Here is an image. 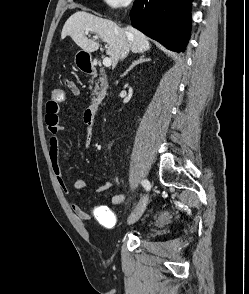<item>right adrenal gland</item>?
<instances>
[{
	"label": "right adrenal gland",
	"instance_id": "1",
	"mask_svg": "<svg viewBox=\"0 0 249 294\" xmlns=\"http://www.w3.org/2000/svg\"><path fill=\"white\" fill-rule=\"evenodd\" d=\"M151 59L150 58H145V56L144 55H141L140 57H139V59H137L136 61H134L133 63H132V65L125 71V73L124 74H127L131 69H133L136 65H138V64H141V63H143V62H148V61H150Z\"/></svg>",
	"mask_w": 249,
	"mask_h": 294
}]
</instances>
